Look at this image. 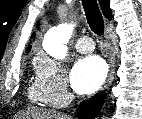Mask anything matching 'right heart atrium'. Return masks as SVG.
I'll use <instances>...</instances> for the list:
<instances>
[{"instance_id":"d8ad5b80","label":"right heart atrium","mask_w":142,"mask_h":119,"mask_svg":"<svg viewBox=\"0 0 142 119\" xmlns=\"http://www.w3.org/2000/svg\"><path fill=\"white\" fill-rule=\"evenodd\" d=\"M35 69L44 102L53 107L65 105L70 98V92L64 66L59 61L41 54L35 61Z\"/></svg>"}]
</instances>
